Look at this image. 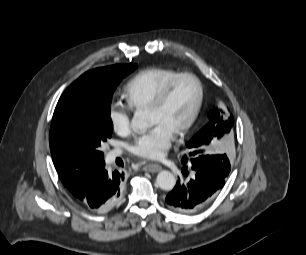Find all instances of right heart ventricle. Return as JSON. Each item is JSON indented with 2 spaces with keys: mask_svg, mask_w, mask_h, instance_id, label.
I'll return each instance as SVG.
<instances>
[{
  "mask_svg": "<svg viewBox=\"0 0 306 255\" xmlns=\"http://www.w3.org/2000/svg\"><path fill=\"white\" fill-rule=\"evenodd\" d=\"M179 72L169 68L152 67L134 75L125 86L128 104L136 109H147L158 92Z\"/></svg>",
  "mask_w": 306,
  "mask_h": 255,
  "instance_id": "e07e8e85",
  "label": "right heart ventricle"
}]
</instances>
